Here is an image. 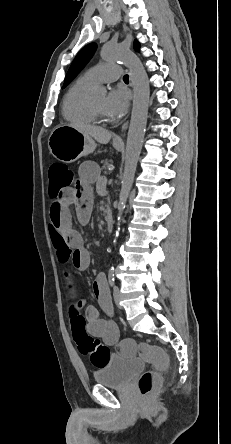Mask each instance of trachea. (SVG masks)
<instances>
[{"label": "trachea", "mask_w": 231, "mask_h": 444, "mask_svg": "<svg viewBox=\"0 0 231 444\" xmlns=\"http://www.w3.org/2000/svg\"><path fill=\"white\" fill-rule=\"evenodd\" d=\"M123 80H124V81H129V76H128L127 74L124 75Z\"/></svg>", "instance_id": "3493384b"}]
</instances>
